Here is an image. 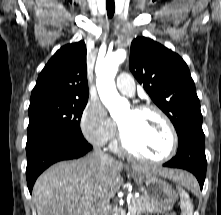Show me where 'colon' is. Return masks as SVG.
I'll return each instance as SVG.
<instances>
[{
    "mask_svg": "<svg viewBox=\"0 0 221 215\" xmlns=\"http://www.w3.org/2000/svg\"><path fill=\"white\" fill-rule=\"evenodd\" d=\"M159 215H175L174 213H161Z\"/></svg>",
    "mask_w": 221,
    "mask_h": 215,
    "instance_id": "obj_1",
    "label": "colon"
}]
</instances>
